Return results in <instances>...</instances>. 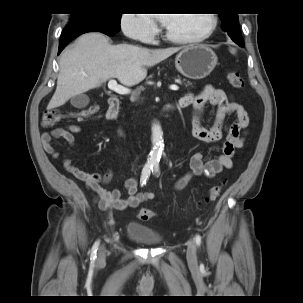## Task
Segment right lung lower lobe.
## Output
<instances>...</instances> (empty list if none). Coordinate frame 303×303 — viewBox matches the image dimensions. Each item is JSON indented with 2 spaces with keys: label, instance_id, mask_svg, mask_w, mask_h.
I'll use <instances>...</instances> for the list:
<instances>
[{
  "label": "right lung lower lobe",
  "instance_id": "right-lung-lower-lobe-1",
  "mask_svg": "<svg viewBox=\"0 0 303 303\" xmlns=\"http://www.w3.org/2000/svg\"><path fill=\"white\" fill-rule=\"evenodd\" d=\"M120 30V24L107 21H82L66 26L61 34L58 54L77 36L87 32H102L109 36L115 35Z\"/></svg>",
  "mask_w": 303,
  "mask_h": 303
}]
</instances>
